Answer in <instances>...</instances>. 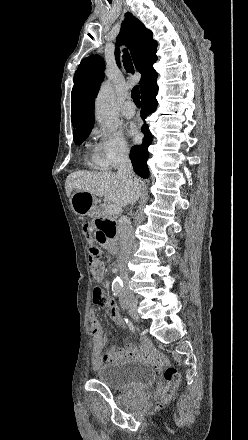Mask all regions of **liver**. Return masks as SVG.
Masks as SVG:
<instances>
[{
	"instance_id": "1",
	"label": "liver",
	"mask_w": 248,
	"mask_h": 440,
	"mask_svg": "<svg viewBox=\"0 0 248 440\" xmlns=\"http://www.w3.org/2000/svg\"><path fill=\"white\" fill-rule=\"evenodd\" d=\"M141 187L139 180L135 182L112 172L77 171L69 174L65 181L68 197L74 189L83 190L104 197L105 201L119 206L134 202L139 196Z\"/></svg>"
}]
</instances>
